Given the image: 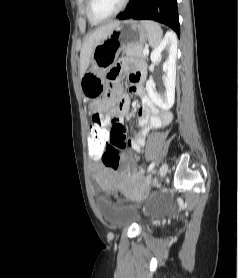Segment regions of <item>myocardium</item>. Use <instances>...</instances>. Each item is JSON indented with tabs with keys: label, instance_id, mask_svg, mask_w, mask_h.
<instances>
[{
	"label": "myocardium",
	"instance_id": "f54148a6",
	"mask_svg": "<svg viewBox=\"0 0 238 278\" xmlns=\"http://www.w3.org/2000/svg\"><path fill=\"white\" fill-rule=\"evenodd\" d=\"M87 1H88V3H87L88 15L93 21H95L97 23L103 22V21H106L108 19L115 17L116 15H118L120 12H122L126 8L128 2H129V0H123L121 5L114 12H112L111 14H109L107 16L99 17L94 13V10H93L94 0H87Z\"/></svg>",
	"mask_w": 238,
	"mask_h": 278
}]
</instances>
